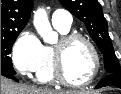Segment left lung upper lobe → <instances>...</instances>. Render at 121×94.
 I'll use <instances>...</instances> for the list:
<instances>
[{
	"instance_id": "1",
	"label": "left lung upper lobe",
	"mask_w": 121,
	"mask_h": 94,
	"mask_svg": "<svg viewBox=\"0 0 121 94\" xmlns=\"http://www.w3.org/2000/svg\"><path fill=\"white\" fill-rule=\"evenodd\" d=\"M79 20L83 21L89 34L103 54L104 67L109 74H121L119 61L108 34V25L97 0H59Z\"/></svg>"
}]
</instances>
